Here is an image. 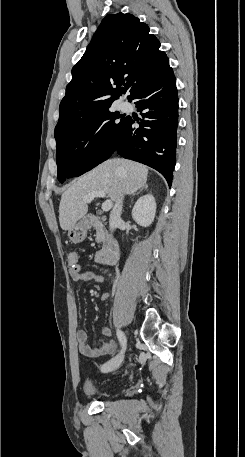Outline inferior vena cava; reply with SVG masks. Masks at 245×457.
Returning <instances> with one entry per match:
<instances>
[{"instance_id":"inferior-vena-cava-1","label":"inferior vena cava","mask_w":245,"mask_h":457,"mask_svg":"<svg viewBox=\"0 0 245 457\" xmlns=\"http://www.w3.org/2000/svg\"><path fill=\"white\" fill-rule=\"evenodd\" d=\"M122 202H116L113 210H111L110 218H109V224H110V229H116V226L120 224V222H123L120 214L122 210Z\"/></svg>"}]
</instances>
